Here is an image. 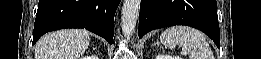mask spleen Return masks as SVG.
<instances>
[{"mask_svg":"<svg viewBox=\"0 0 261 59\" xmlns=\"http://www.w3.org/2000/svg\"><path fill=\"white\" fill-rule=\"evenodd\" d=\"M160 41L168 48L177 45L188 54L189 59H214L213 52L205 38L198 30L188 26H173L166 29L160 36Z\"/></svg>","mask_w":261,"mask_h":59,"instance_id":"1","label":"spleen"}]
</instances>
